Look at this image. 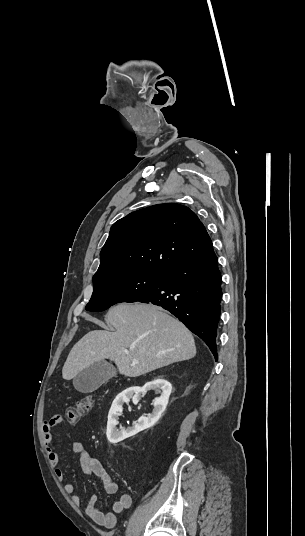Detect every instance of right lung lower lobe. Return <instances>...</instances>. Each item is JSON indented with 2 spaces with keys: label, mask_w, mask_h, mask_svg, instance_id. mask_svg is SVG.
Instances as JSON below:
<instances>
[{
  "label": "right lung lower lobe",
  "mask_w": 305,
  "mask_h": 536,
  "mask_svg": "<svg viewBox=\"0 0 305 536\" xmlns=\"http://www.w3.org/2000/svg\"><path fill=\"white\" fill-rule=\"evenodd\" d=\"M221 283L218 258L212 250L167 272V277L153 291L137 301L170 311L208 345L217 360Z\"/></svg>",
  "instance_id": "1"
}]
</instances>
